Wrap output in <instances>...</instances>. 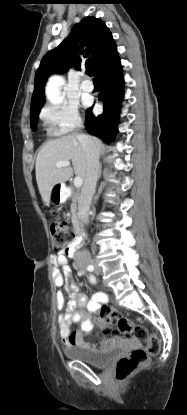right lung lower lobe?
Returning <instances> with one entry per match:
<instances>
[{
  "mask_svg": "<svg viewBox=\"0 0 187 415\" xmlns=\"http://www.w3.org/2000/svg\"><path fill=\"white\" fill-rule=\"evenodd\" d=\"M96 79L100 86L98 99L104 104L103 113L94 116L92 108H89L85 126L90 134L109 143L117 132L120 103L123 99L124 80L118 54L97 74Z\"/></svg>",
  "mask_w": 187,
  "mask_h": 415,
  "instance_id": "right-lung-lower-lobe-1",
  "label": "right lung lower lobe"
}]
</instances>
